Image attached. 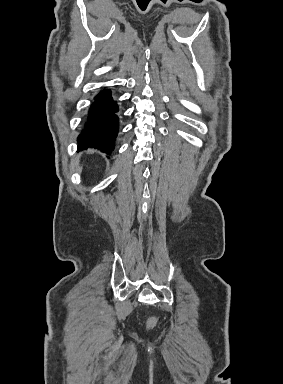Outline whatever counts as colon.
Here are the masks:
<instances>
[{
    "label": "colon",
    "mask_w": 283,
    "mask_h": 384,
    "mask_svg": "<svg viewBox=\"0 0 283 384\" xmlns=\"http://www.w3.org/2000/svg\"><path fill=\"white\" fill-rule=\"evenodd\" d=\"M156 323H157V319H156V317H151V318H149L148 321H147V325H148V327H150V328L154 327V326L156 325Z\"/></svg>",
    "instance_id": "colon-1"
}]
</instances>
